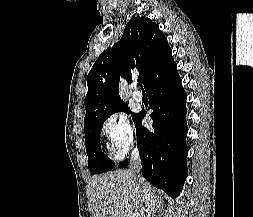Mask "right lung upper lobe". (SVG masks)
<instances>
[{"instance_id":"cb5924a9","label":"right lung upper lobe","mask_w":253,"mask_h":217,"mask_svg":"<svg viewBox=\"0 0 253 217\" xmlns=\"http://www.w3.org/2000/svg\"><path fill=\"white\" fill-rule=\"evenodd\" d=\"M174 63L167 38L149 18L132 17L120 41L105 50L87 76L84 122L124 103L118 92L120 76L132 81L139 72L144 87Z\"/></svg>"}]
</instances>
